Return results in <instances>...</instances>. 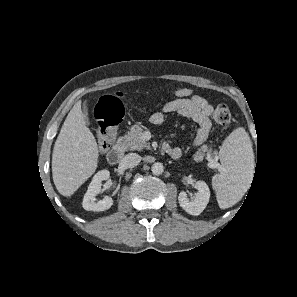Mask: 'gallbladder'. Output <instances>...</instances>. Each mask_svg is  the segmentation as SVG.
Instances as JSON below:
<instances>
[{
    "label": "gallbladder",
    "instance_id": "1",
    "mask_svg": "<svg viewBox=\"0 0 297 297\" xmlns=\"http://www.w3.org/2000/svg\"><path fill=\"white\" fill-rule=\"evenodd\" d=\"M85 111H84V118L86 119V122H88V110L87 107L85 106Z\"/></svg>",
    "mask_w": 297,
    "mask_h": 297
}]
</instances>
